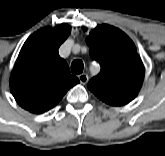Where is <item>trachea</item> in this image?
<instances>
[{"instance_id": "1", "label": "trachea", "mask_w": 165, "mask_h": 156, "mask_svg": "<svg viewBox=\"0 0 165 156\" xmlns=\"http://www.w3.org/2000/svg\"><path fill=\"white\" fill-rule=\"evenodd\" d=\"M84 64L81 60H74L71 64V72L73 74H81L83 72Z\"/></svg>"}]
</instances>
